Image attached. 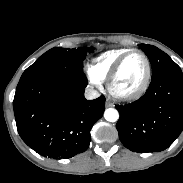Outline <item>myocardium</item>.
I'll return each instance as SVG.
<instances>
[{
  "label": "myocardium",
  "instance_id": "obj_1",
  "mask_svg": "<svg viewBox=\"0 0 183 183\" xmlns=\"http://www.w3.org/2000/svg\"><path fill=\"white\" fill-rule=\"evenodd\" d=\"M132 53H137V54L141 55L142 58L144 59L145 76H144L142 83L135 90L130 91V92H121V91H118L114 87V81L120 71V68L122 67V64L124 63L126 58ZM151 73H152L151 63H150L148 56L140 49H129L115 62V64L112 66L111 70L109 71L108 76L106 78L107 90L110 93V95L112 97H114L115 99H118L121 101L135 100V99L141 97L148 89L150 80H151Z\"/></svg>",
  "mask_w": 183,
  "mask_h": 183
}]
</instances>
